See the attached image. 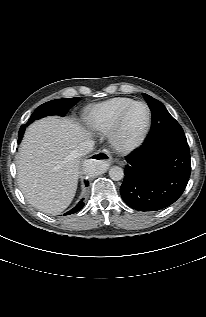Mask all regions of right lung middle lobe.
Instances as JSON below:
<instances>
[{"mask_svg":"<svg viewBox=\"0 0 206 317\" xmlns=\"http://www.w3.org/2000/svg\"><path fill=\"white\" fill-rule=\"evenodd\" d=\"M78 101H79L78 97L64 98V99L51 100L49 102H46L40 105L31 115L29 121L25 125L21 126L18 140L21 141L25 127H27L28 124H30L34 120H37L49 115L64 116L68 112V110L72 106H74Z\"/></svg>","mask_w":206,"mask_h":317,"instance_id":"obj_1","label":"right lung middle lobe"}]
</instances>
